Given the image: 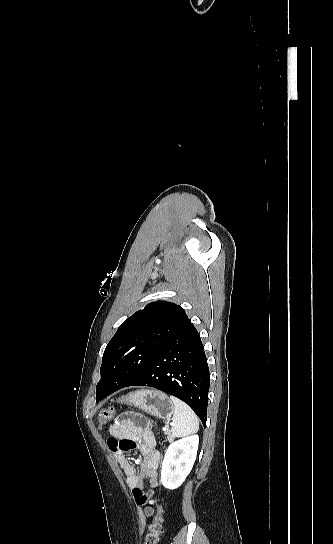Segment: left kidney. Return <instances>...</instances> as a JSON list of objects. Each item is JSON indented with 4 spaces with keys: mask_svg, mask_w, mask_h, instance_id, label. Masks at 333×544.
<instances>
[{
    "mask_svg": "<svg viewBox=\"0 0 333 544\" xmlns=\"http://www.w3.org/2000/svg\"><path fill=\"white\" fill-rule=\"evenodd\" d=\"M198 444V435L171 442L161 469V483L165 488L176 489L184 482L194 465Z\"/></svg>",
    "mask_w": 333,
    "mask_h": 544,
    "instance_id": "obj_1",
    "label": "left kidney"
}]
</instances>
